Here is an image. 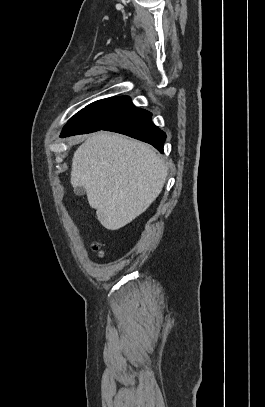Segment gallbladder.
<instances>
[{
  "label": "gallbladder",
  "instance_id": "obj_1",
  "mask_svg": "<svg viewBox=\"0 0 265 407\" xmlns=\"http://www.w3.org/2000/svg\"><path fill=\"white\" fill-rule=\"evenodd\" d=\"M74 193L78 196H82L85 194V188L82 186H78L74 188Z\"/></svg>",
  "mask_w": 265,
  "mask_h": 407
}]
</instances>
